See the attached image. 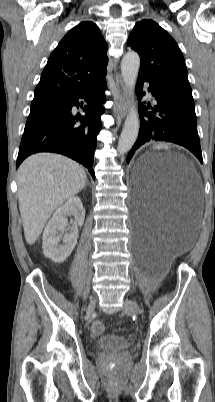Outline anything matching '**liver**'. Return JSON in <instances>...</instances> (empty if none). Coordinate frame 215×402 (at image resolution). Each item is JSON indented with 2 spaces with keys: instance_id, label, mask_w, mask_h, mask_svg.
<instances>
[{
  "instance_id": "6515ba94",
  "label": "liver",
  "mask_w": 215,
  "mask_h": 402,
  "mask_svg": "<svg viewBox=\"0 0 215 402\" xmlns=\"http://www.w3.org/2000/svg\"><path fill=\"white\" fill-rule=\"evenodd\" d=\"M86 181L84 169L62 155L38 153L23 161L17 172L18 202L28 244L36 242L55 209Z\"/></svg>"
}]
</instances>
